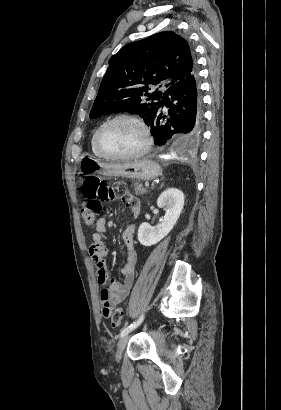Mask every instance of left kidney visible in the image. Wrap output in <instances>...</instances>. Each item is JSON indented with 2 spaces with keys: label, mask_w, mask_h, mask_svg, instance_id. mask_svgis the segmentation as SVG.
<instances>
[{
  "label": "left kidney",
  "mask_w": 281,
  "mask_h": 410,
  "mask_svg": "<svg viewBox=\"0 0 281 410\" xmlns=\"http://www.w3.org/2000/svg\"><path fill=\"white\" fill-rule=\"evenodd\" d=\"M157 205L166 211L164 219L155 227L146 222L140 225L138 240L143 246L158 243L173 229L184 206V194L177 188H168L157 199Z\"/></svg>",
  "instance_id": "left-kidney-1"
}]
</instances>
